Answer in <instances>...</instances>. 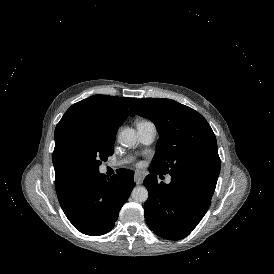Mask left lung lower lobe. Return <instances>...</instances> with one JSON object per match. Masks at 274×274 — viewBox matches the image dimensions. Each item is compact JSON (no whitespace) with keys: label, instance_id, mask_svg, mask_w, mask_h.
Listing matches in <instances>:
<instances>
[{"label":"left lung lower lobe","instance_id":"obj_1","mask_svg":"<svg viewBox=\"0 0 274 274\" xmlns=\"http://www.w3.org/2000/svg\"><path fill=\"white\" fill-rule=\"evenodd\" d=\"M144 185L149 198L144 204L145 220L158 236L178 240L186 237L207 212L217 179L199 173H175L171 182L158 183L157 170L149 167Z\"/></svg>","mask_w":274,"mask_h":274}]
</instances>
